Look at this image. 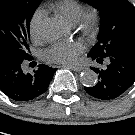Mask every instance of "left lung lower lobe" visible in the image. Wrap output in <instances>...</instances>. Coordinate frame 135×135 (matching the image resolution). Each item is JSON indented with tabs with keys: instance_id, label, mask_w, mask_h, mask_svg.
I'll return each mask as SVG.
<instances>
[{
	"instance_id": "obj_1",
	"label": "left lung lower lobe",
	"mask_w": 135,
	"mask_h": 135,
	"mask_svg": "<svg viewBox=\"0 0 135 135\" xmlns=\"http://www.w3.org/2000/svg\"><path fill=\"white\" fill-rule=\"evenodd\" d=\"M102 64L106 59L107 67L103 70L92 68L98 74V82L92 87H84L92 97L100 100H112L122 95L135 81V53L115 52L105 58L90 56Z\"/></svg>"
}]
</instances>
